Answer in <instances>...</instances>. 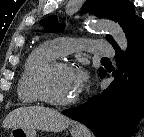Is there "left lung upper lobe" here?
<instances>
[{
	"label": "left lung upper lobe",
	"mask_w": 144,
	"mask_h": 137,
	"mask_svg": "<svg viewBox=\"0 0 144 137\" xmlns=\"http://www.w3.org/2000/svg\"><path fill=\"white\" fill-rule=\"evenodd\" d=\"M86 12L118 22L126 37L142 22V18L137 17L134 13V5L127 0H88L82 9V13ZM41 24L50 33L61 32L64 28V23H58L55 16L45 18ZM107 40L113 45V48L117 46L111 36L108 35ZM104 71L103 68L100 69L101 76Z\"/></svg>",
	"instance_id": "left-lung-upper-lobe-1"
}]
</instances>
